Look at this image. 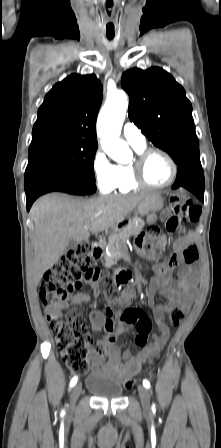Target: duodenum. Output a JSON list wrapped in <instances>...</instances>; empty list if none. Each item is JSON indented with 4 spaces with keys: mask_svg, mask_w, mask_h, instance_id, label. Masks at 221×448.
I'll return each instance as SVG.
<instances>
[{
    "mask_svg": "<svg viewBox=\"0 0 221 448\" xmlns=\"http://www.w3.org/2000/svg\"><path fill=\"white\" fill-rule=\"evenodd\" d=\"M104 253V241L99 240L93 243V245L90 247V254L94 259H100L104 255ZM115 277L118 283H128L131 278V274L128 271H120L116 274Z\"/></svg>",
    "mask_w": 221,
    "mask_h": 448,
    "instance_id": "410a0bca",
    "label": "duodenum"
}]
</instances>
